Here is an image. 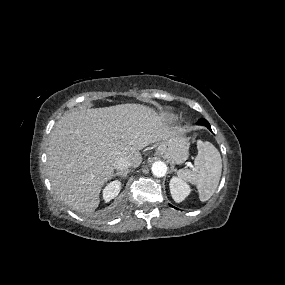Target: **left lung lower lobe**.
<instances>
[{"mask_svg":"<svg viewBox=\"0 0 285 285\" xmlns=\"http://www.w3.org/2000/svg\"><path fill=\"white\" fill-rule=\"evenodd\" d=\"M198 124H199V125H204V126H206L208 129L211 130L210 124H209L208 121L205 120V119L199 120V121H198Z\"/></svg>","mask_w":285,"mask_h":285,"instance_id":"1","label":"left lung lower lobe"}]
</instances>
